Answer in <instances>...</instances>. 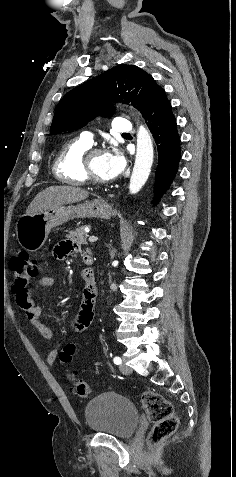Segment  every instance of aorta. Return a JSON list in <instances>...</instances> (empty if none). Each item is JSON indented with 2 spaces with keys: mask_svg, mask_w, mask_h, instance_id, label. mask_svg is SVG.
<instances>
[{
  "mask_svg": "<svg viewBox=\"0 0 236 477\" xmlns=\"http://www.w3.org/2000/svg\"><path fill=\"white\" fill-rule=\"evenodd\" d=\"M153 143L149 131L140 126L137 132V150L133 171L130 177L129 191L135 194L146 183L153 164Z\"/></svg>",
  "mask_w": 236,
  "mask_h": 477,
  "instance_id": "762f6f07",
  "label": "aorta"
}]
</instances>
